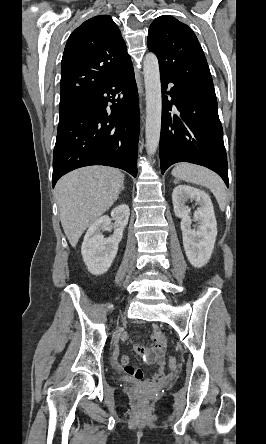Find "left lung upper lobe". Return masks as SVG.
<instances>
[{"instance_id":"left-lung-upper-lobe-1","label":"left lung upper lobe","mask_w":266,"mask_h":444,"mask_svg":"<svg viewBox=\"0 0 266 444\" xmlns=\"http://www.w3.org/2000/svg\"><path fill=\"white\" fill-rule=\"evenodd\" d=\"M147 44L160 71L177 81L213 84L201 45L186 24L172 16L158 17L150 25Z\"/></svg>"}]
</instances>
